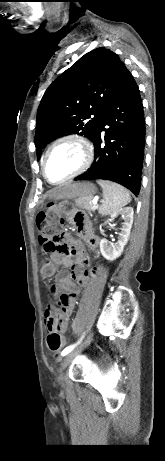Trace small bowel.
Segmentation results:
<instances>
[{"instance_id":"small-bowel-1","label":"small bowel","mask_w":165,"mask_h":461,"mask_svg":"<svg viewBox=\"0 0 165 461\" xmlns=\"http://www.w3.org/2000/svg\"><path fill=\"white\" fill-rule=\"evenodd\" d=\"M63 209L66 207L63 206ZM67 213L71 222L75 225L79 235L84 237L91 248L98 245V238L89 230L86 220V209H68ZM71 251L52 252L50 261L54 267L63 266L71 268V272L60 271L56 275L55 282L48 286L51 295H59V306L62 312L59 318L56 317L58 308L48 306L45 311V327L48 332L53 328L59 333L65 332L68 321L72 315L80 294L79 286L85 285L94 271L83 269L84 252L80 245V237H69Z\"/></svg>"}]
</instances>
